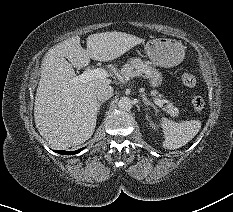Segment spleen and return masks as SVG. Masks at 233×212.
<instances>
[{
  "instance_id": "obj_1",
  "label": "spleen",
  "mask_w": 233,
  "mask_h": 212,
  "mask_svg": "<svg viewBox=\"0 0 233 212\" xmlns=\"http://www.w3.org/2000/svg\"><path fill=\"white\" fill-rule=\"evenodd\" d=\"M161 126L164 130L163 147L174 150L186 145L199 132L201 121L191 120L176 123L165 117L161 120Z\"/></svg>"
}]
</instances>
